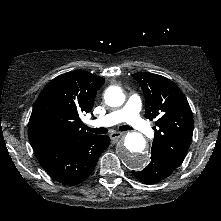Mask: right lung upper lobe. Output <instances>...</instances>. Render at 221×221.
Listing matches in <instances>:
<instances>
[{
  "mask_svg": "<svg viewBox=\"0 0 221 221\" xmlns=\"http://www.w3.org/2000/svg\"><path fill=\"white\" fill-rule=\"evenodd\" d=\"M105 79L85 70L54 78L40 93L29 120L33 148L75 142L94 136L81 128L80 116L89 113Z\"/></svg>",
  "mask_w": 221,
  "mask_h": 221,
  "instance_id": "right-lung-upper-lobe-1",
  "label": "right lung upper lobe"
}]
</instances>
